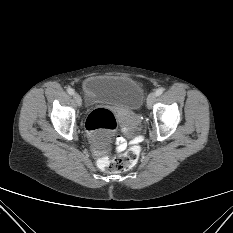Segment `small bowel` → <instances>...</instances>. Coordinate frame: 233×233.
<instances>
[{
  "label": "small bowel",
  "instance_id": "1",
  "mask_svg": "<svg viewBox=\"0 0 233 233\" xmlns=\"http://www.w3.org/2000/svg\"><path fill=\"white\" fill-rule=\"evenodd\" d=\"M117 144H118V146H117L118 151H123L125 149V147H126L125 141L123 139H121V138H119L117 140Z\"/></svg>",
  "mask_w": 233,
  "mask_h": 233
}]
</instances>
